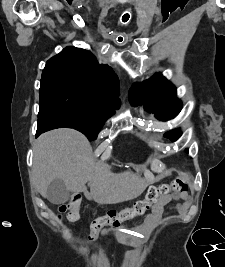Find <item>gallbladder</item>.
<instances>
[{"label":"gallbladder","mask_w":225,"mask_h":267,"mask_svg":"<svg viewBox=\"0 0 225 267\" xmlns=\"http://www.w3.org/2000/svg\"><path fill=\"white\" fill-rule=\"evenodd\" d=\"M69 191L61 179L53 180L47 187V198L53 204H62L67 201Z\"/></svg>","instance_id":"1"}]
</instances>
